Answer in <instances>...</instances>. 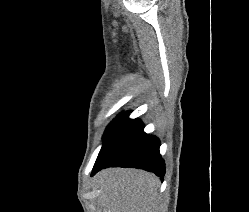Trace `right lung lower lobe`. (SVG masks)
Instances as JSON below:
<instances>
[{
    "mask_svg": "<svg viewBox=\"0 0 249 212\" xmlns=\"http://www.w3.org/2000/svg\"><path fill=\"white\" fill-rule=\"evenodd\" d=\"M143 129V123L129 119L128 114L118 118L106 134L92 176L107 167H131L153 172L162 179L165 164L159 153L160 141Z\"/></svg>",
    "mask_w": 249,
    "mask_h": 212,
    "instance_id": "right-lung-lower-lobe-1",
    "label": "right lung lower lobe"
}]
</instances>
